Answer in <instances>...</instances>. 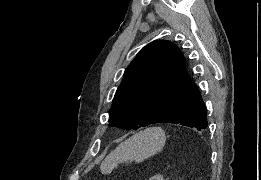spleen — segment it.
Here are the masks:
<instances>
[{
  "label": "spleen",
  "instance_id": "obj_1",
  "mask_svg": "<svg viewBox=\"0 0 261 180\" xmlns=\"http://www.w3.org/2000/svg\"><path fill=\"white\" fill-rule=\"evenodd\" d=\"M165 142L166 136L162 128H146L143 132H138L119 144L118 148L107 156L105 166H101L102 174H110L118 164H124L128 160L140 164L143 160L159 154Z\"/></svg>",
  "mask_w": 261,
  "mask_h": 180
}]
</instances>
